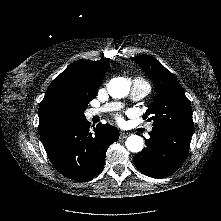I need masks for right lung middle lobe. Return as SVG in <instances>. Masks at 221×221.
I'll list each match as a JSON object with an SVG mask.
<instances>
[{"instance_id": "right-lung-middle-lobe-1", "label": "right lung middle lobe", "mask_w": 221, "mask_h": 221, "mask_svg": "<svg viewBox=\"0 0 221 221\" xmlns=\"http://www.w3.org/2000/svg\"><path fill=\"white\" fill-rule=\"evenodd\" d=\"M97 93H84L77 92L73 95V101L79 110L81 118H84V111L86 110L89 101L93 100L96 97Z\"/></svg>"}]
</instances>
